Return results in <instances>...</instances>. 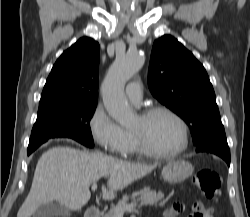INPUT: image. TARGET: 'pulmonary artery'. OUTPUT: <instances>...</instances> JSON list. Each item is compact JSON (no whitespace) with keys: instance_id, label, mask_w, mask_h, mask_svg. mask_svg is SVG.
Listing matches in <instances>:
<instances>
[{"instance_id":"pulmonary-artery-1","label":"pulmonary artery","mask_w":250,"mask_h":217,"mask_svg":"<svg viewBox=\"0 0 250 217\" xmlns=\"http://www.w3.org/2000/svg\"><path fill=\"white\" fill-rule=\"evenodd\" d=\"M126 96L132 103L138 105L143 97L141 84L138 81L130 82L126 87Z\"/></svg>"}]
</instances>
